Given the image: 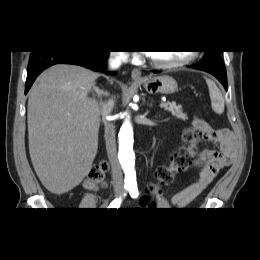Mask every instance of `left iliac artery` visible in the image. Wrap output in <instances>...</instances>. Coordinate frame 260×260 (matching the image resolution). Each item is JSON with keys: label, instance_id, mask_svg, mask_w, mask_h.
<instances>
[{"label": "left iliac artery", "instance_id": "obj_1", "mask_svg": "<svg viewBox=\"0 0 260 260\" xmlns=\"http://www.w3.org/2000/svg\"><path fill=\"white\" fill-rule=\"evenodd\" d=\"M129 192H130V195H131L132 198H137L138 195H139L138 188H137V186H135V185H132V186L129 188Z\"/></svg>", "mask_w": 260, "mask_h": 260}]
</instances>
